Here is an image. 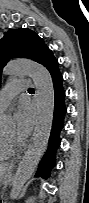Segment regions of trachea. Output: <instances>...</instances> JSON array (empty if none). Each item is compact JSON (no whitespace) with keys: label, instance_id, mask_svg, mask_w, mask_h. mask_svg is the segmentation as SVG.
<instances>
[{"label":"trachea","instance_id":"obj_1","mask_svg":"<svg viewBox=\"0 0 89 203\" xmlns=\"http://www.w3.org/2000/svg\"><path fill=\"white\" fill-rule=\"evenodd\" d=\"M28 91H34V89H33V88H30Z\"/></svg>","mask_w":89,"mask_h":203}]
</instances>
